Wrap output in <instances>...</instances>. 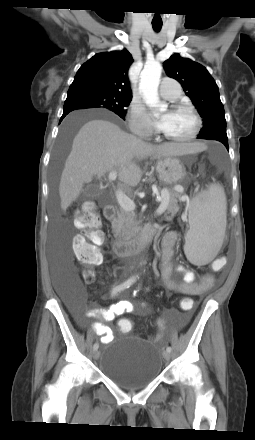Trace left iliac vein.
<instances>
[{
  "instance_id": "1",
  "label": "left iliac vein",
  "mask_w": 255,
  "mask_h": 440,
  "mask_svg": "<svg viewBox=\"0 0 255 440\" xmlns=\"http://www.w3.org/2000/svg\"><path fill=\"white\" fill-rule=\"evenodd\" d=\"M163 356H164L165 360H169L170 357H171V354H170V352L165 351V352L163 353Z\"/></svg>"
}]
</instances>
